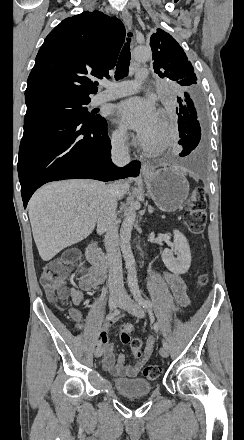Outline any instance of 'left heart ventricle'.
<instances>
[{"label": "left heart ventricle", "instance_id": "b2bd125f", "mask_svg": "<svg viewBox=\"0 0 244 440\" xmlns=\"http://www.w3.org/2000/svg\"><path fill=\"white\" fill-rule=\"evenodd\" d=\"M165 129H166V127H165V125L163 123L162 116L158 115L156 123H155L154 128H153V135H151V137L152 138H157V139L160 138L163 135Z\"/></svg>", "mask_w": 244, "mask_h": 440}]
</instances>
